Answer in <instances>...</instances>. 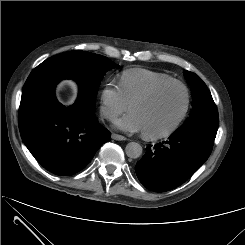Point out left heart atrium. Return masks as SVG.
Here are the masks:
<instances>
[{
	"instance_id": "obj_1",
	"label": "left heart atrium",
	"mask_w": 245,
	"mask_h": 245,
	"mask_svg": "<svg viewBox=\"0 0 245 245\" xmlns=\"http://www.w3.org/2000/svg\"><path fill=\"white\" fill-rule=\"evenodd\" d=\"M115 126L123 131L140 132L143 131L139 118L132 112L115 122Z\"/></svg>"
}]
</instances>
